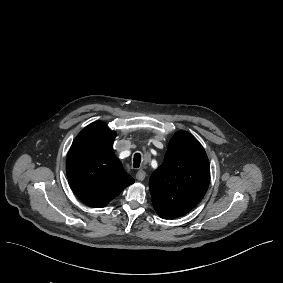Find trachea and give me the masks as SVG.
Wrapping results in <instances>:
<instances>
[{
	"instance_id": "obj_1",
	"label": "trachea",
	"mask_w": 283,
	"mask_h": 283,
	"mask_svg": "<svg viewBox=\"0 0 283 283\" xmlns=\"http://www.w3.org/2000/svg\"><path fill=\"white\" fill-rule=\"evenodd\" d=\"M141 164V155L139 153H136L133 157V167L139 168Z\"/></svg>"
}]
</instances>
